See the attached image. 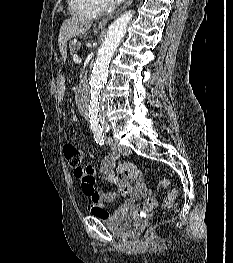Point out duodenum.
<instances>
[{
  "instance_id": "duodenum-1",
  "label": "duodenum",
  "mask_w": 233,
  "mask_h": 263,
  "mask_svg": "<svg viewBox=\"0 0 233 263\" xmlns=\"http://www.w3.org/2000/svg\"><path fill=\"white\" fill-rule=\"evenodd\" d=\"M79 77L81 78L80 79L81 83H88L89 82V79L87 78L88 77L87 73H80Z\"/></svg>"
}]
</instances>
